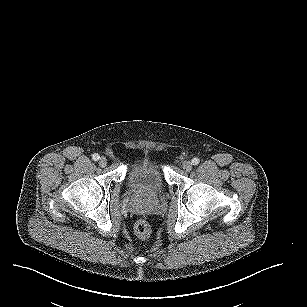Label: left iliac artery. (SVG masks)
Here are the masks:
<instances>
[{"instance_id": "left-iliac-artery-1", "label": "left iliac artery", "mask_w": 307, "mask_h": 307, "mask_svg": "<svg viewBox=\"0 0 307 307\" xmlns=\"http://www.w3.org/2000/svg\"><path fill=\"white\" fill-rule=\"evenodd\" d=\"M199 162H200V160L198 158H193L192 159V164L193 165H197V164H199Z\"/></svg>"}]
</instances>
